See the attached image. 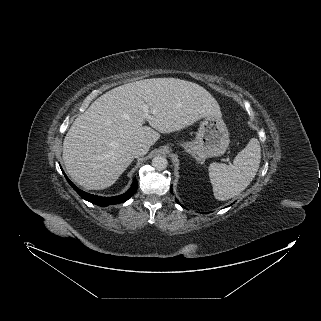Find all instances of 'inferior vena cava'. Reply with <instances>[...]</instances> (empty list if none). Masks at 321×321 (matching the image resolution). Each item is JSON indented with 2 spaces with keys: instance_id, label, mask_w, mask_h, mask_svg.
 I'll return each instance as SVG.
<instances>
[{
  "instance_id": "602c4592",
  "label": "inferior vena cava",
  "mask_w": 321,
  "mask_h": 321,
  "mask_svg": "<svg viewBox=\"0 0 321 321\" xmlns=\"http://www.w3.org/2000/svg\"><path fill=\"white\" fill-rule=\"evenodd\" d=\"M149 150V145L138 143L131 148V153L135 158L145 155Z\"/></svg>"
}]
</instances>
